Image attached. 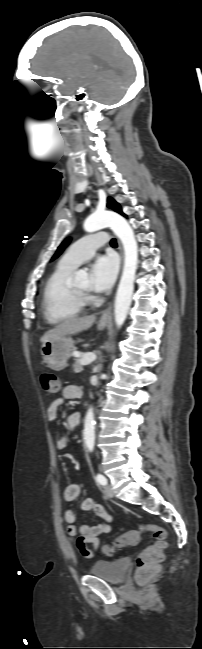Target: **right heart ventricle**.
I'll use <instances>...</instances> for the list:
<instances>
[{
	"label": "right heart ventricle",
	"mask_w": 202,
	"mask_h": 649,
	"mask_svg": "<svg viewBox=\"0 0 202 649\" xmlns=\"http://www.w3.org/2000/svg\"><path fill=\"white\" fill-rule=\"evenodd\" d=\"M76 267L60 262L49 276L43 291V314L52 324L70 320L83 310L71 290V277Z\"/></svg>",
	"instance_id": "right-heart-ventricle-1"
}]
</instances>
